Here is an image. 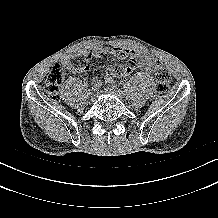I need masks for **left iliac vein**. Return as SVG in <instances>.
<instances>
[{"instance_id":"4c4485c4","label":"left iliac vein","mask_w":218,"mask_h":218,"mask_svg":"<svg viewBox=\"0 0 218 218\" xmlns=\"http://www.w3.org/2000/svg\"><path fill=\"white\" fill-rule=\"evenodd\" d=\"M104 92L115 95L121 100L124 98V94L120 91V89L116 88L114 85L105 88Z\"/></svg>"}]
</instances>
